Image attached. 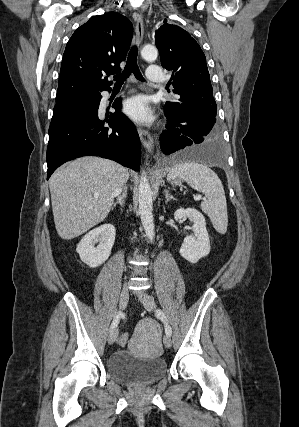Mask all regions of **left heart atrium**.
Wrapping results in <instances>:
<instances>
[{
    "label": "left heart atrium",
    "mask_w": 299,
    "mask_h": 427,
    "mask_svg": "<svg viewBox=\"0 0 299 427\" xmlns=\"http://www.w3.org/2000/svg\"><path fill=\"white\" fill-rule=\"evenodd\" d=\"M123 111L131 119L140 123H148L153 118L147 99L142 95L126 100L123 105Z\"/></svg>",
    "instance_id": "left-heart-atrium-1"
}]
</instances>
